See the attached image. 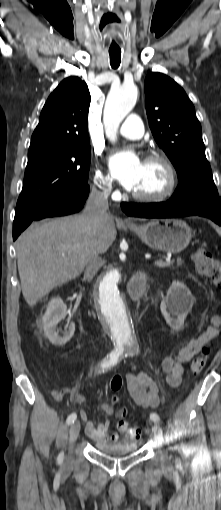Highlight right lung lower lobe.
I'll return each instance as SVG.
<instances>
[{
  "label": "right lung lower lobe",
  "instance_id": "98d812e1",
  "mask_svg": "<svg viewBox=\"0 0 221 510\" xmlns=\"http://www.w3.org/2000/svg\"><path fill=\"white\" fill-rule=\"evenodd\" d=\"M89 186L69 194L60 200L48 205L36 214L28 217L21 218L15 214L13 222V240L20 235V233L35 220H40L46 217H55L72 214L80 211L88 197Z\"/></svg>",
  "mask_w": 221,
  "mask_h": 510
}]
</instances>
